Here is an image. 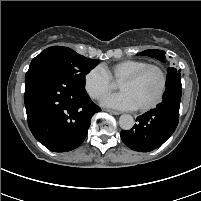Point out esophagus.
I'll return each instance as SVG.
<instances>
[{
	"instance_id": "esophagus-1",
	"label": "esophagus",
	"mask_w": 201,
	"mask_h": 201,
	"mask_svg": "<svg viewBox=\"0 0 201 201\" xmlns=\"http://www.w3.org/2000/svg\"><path fill=\"white\" fill-rule=\"evenodd\" d=\"M105 111L109 112L110 114H114V115H119L120 112L115 111V110H111V109H105Z\"/></svg>"
}]
</instances>
